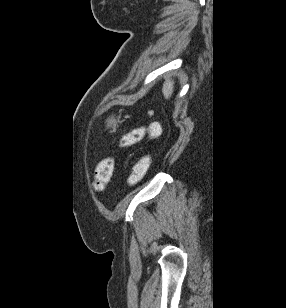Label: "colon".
I'll return each instance as SVG.
<instances>
[{
    "label": "colon",
    "instance_id": "obj_1",
    "mask_svg": "<svg viewBox=\"0 0 286 308\" xmlns=\"http://www.w3.org/2000/svg\"><path fill=\"white\" fill-rule=\"evenodd\" d=\"M160 132V125L153 124L151 126H141L130 130L119 141L120 147H129L142 141L146 135H158ZM151 158L149 155H143L132 165L130 172L126 179L128 187H134L139 184L145 177ZM115 166V159L112 156L103 158L97 165L95 171L94 187L97 190H104L110 183Z\"/></svg>",
    "mask_w": 286,
    "mask_h": 308
}]
</instances>
